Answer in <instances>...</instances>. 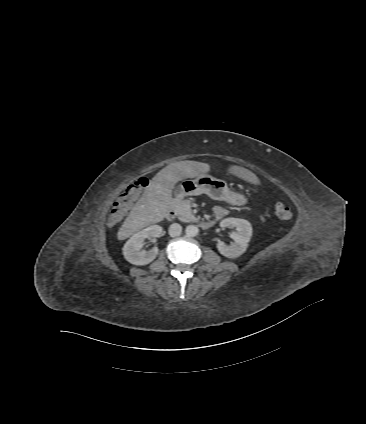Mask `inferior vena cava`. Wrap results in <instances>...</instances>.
Segmentation results:
<instances>
[{"mask_svg":"<svg viewBox=\"0 0 366 424\" xmlns=\"http://www.w3.org/2000/svg\"><path fill=\"white\" fill-rule=\"evenodd\" d=\"M182 232V227L180 224L174 223L169 227V235L171 237L179 236Z\"/></svg>","mask_w":366,"mask_h":424,"instance_id":"602c4592","label":"inferior vena cava"}]
</instances>
